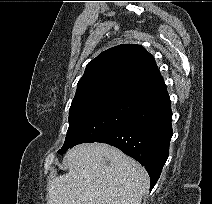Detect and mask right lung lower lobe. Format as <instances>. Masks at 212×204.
<instances>
[{"label":"right lung lower lobe","mask_w":212,"mask_h":204,"mask_svg":"<svg viewBox=\"0 0 212 204\" xmlns=\"http://www.w3.org/2000/svg\"><path fill=\"white\" fill-rule=\"evenodd\" d=\"M172 112L167 92L145 102L121 126L95 142L115 146L139 161L154 187L169 155Z\"/></svg>","instance_id":"right-lung-lower-lobe-1"}]
</instances>
